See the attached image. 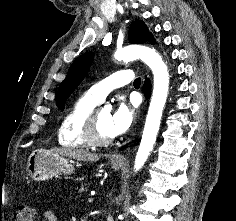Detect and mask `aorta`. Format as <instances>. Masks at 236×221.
Returning <instances> with one entry per match:
<instances>
[{
    "label": "aorta",
    "mask_w": 236,
    "mask_h": 221,
    "mask_svg": "<svg viewBox=\"0 0 236 221\" xmlns=\"http://www.w3.org/2000/svg\"><path fill=\"white\" fill-rule=\"evenodd\" d=\"M114 56L118 61L141 59L150 67L154 75L153 94L146 117L142 139L135 157L134 170L138 171L147 161L149 153L156 142L162 111L166 103L169 89V74L167 66L163 62L161 56L150 47L131 45L118 50ZM110 111V105H106L104 109H102V113H109Z\"/></svg>",
    "instance_id": "1"
}]
</instances>
